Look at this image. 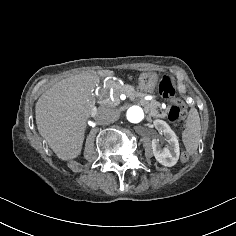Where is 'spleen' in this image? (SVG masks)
<instances>
[{
	"instance_id": "obj_1",
	"label": "spleen",
	"mask_w": 236,
	"mask_h": 236,
	"mask_svg": "<svg viewBox=\"0 0 236 236\" xmlns=\"http://www.w3.org/2000/svg\"><path fill=\"white\" fill-rule=\"evenodd\" d=\"M185 126L186 129L183 132L182 141L186 151L192 155L198 148L201 131L200 117L195 108L191 109Z\"/></svg>"
}]
</instances>
